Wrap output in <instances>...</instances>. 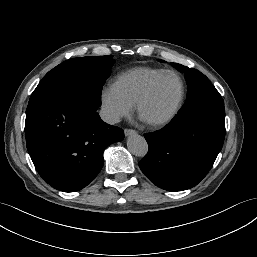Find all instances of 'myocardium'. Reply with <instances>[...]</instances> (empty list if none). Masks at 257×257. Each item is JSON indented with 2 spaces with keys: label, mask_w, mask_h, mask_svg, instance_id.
Listing matches in <instances>:
<instances>
[{
  "label": "myocardium",
  "mask_w": 257,
  "mask_h": 257,
  "mask_svg": "<svg viewBox=\"0 0 257 257\" xmlns=\"http://www.w3.org/2000/svg\"><path fill=\"white\" fill-rule=\"evenodd\" d=\"M166 75L175 76L180 83V94H179V98L176 102V105L174 106L173 110L166 117H164L163 119L156 120V121L145 120L142 117V108H143L144 104L146 103V101L151 96L156 84ZM185 95H186V86H185V82H184L183 78L181 77V75L178 74L177 72L173 71V70H165L162 73L155 76L148 83V85L146 86V88L144 89L142 94L140 95V97H139V99L136 103V109H137L138 116L140 117V119H142L150 127H153V128L165 127V126L169 125L171 122H173L174 119L180 113V111L182 109V106L184 104Z\"/></svg>",
  "instance_id": "1"
}]
</instances>
